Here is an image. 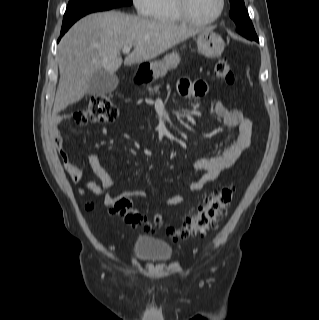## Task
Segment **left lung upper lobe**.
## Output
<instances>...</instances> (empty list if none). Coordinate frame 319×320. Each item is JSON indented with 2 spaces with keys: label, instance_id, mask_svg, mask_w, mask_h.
<instances>
[{
  "label": "left lung upper lobe",
  "instance_id": "left-lung-upper-lobe-1",
  "mask_svg": "<svg viewBox=\"0 0 319 320\" xmlns=\"http://www.w3.org/2000/svg\"><path fill=\"white\" fill-rule=\"evenodd\" d=\"M230 1V17L234 20L237 30L256 34L253 24L250 20L248 12L245 8L244 0H229Z\"/></svg>",
  "mask_w": 319,
  "mask_h": 320
}]
</instances>
